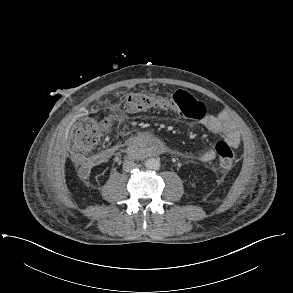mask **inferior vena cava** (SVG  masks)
Segmentation results:
<instances>
[{"label": "inferior vena cava", "instance_id": "obj_1", "mask_svg": "<svg viewBox=\"0 0 293 293\" xmlns=\"http://www.w3.org/2000/svg\"><path fill=\"white\" fill-rule=\"evenodd\" d=\"M138 167V165L133 160H125L123 162V170L125 172H130L132 169Z\"/></svg>", "mask_w": 293, "mask_h": 293}]
</instances>
